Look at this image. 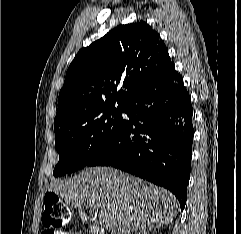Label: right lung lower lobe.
Masks as SVG:
<instances>
[{
  "label": "right lung lower lobe",
  "instance_id": "1",
  "mask_svg": "<svg viewBox=\"0 0 241 234\" xmlns=\"http://www.w3.org/2000/svg\"><path fill=\"white\" fill-rule=\"evenodd\" d=\"M108 144L88 166H113L170 190L181 210L192 156L193 109L174 63L126 104Z\"/></svg>",
  "mask_w": 241,
  "mask_h": 234
}]
</instances>
